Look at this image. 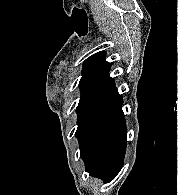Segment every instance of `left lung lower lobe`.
Here are the masks:
<instances>
[{"label": "left lung lower lobe", "instance_id": "0a47b994", "mask_svg": "<svg viewBox=\"0 0 178 195\" xmlns=\"http://www.w3.org/2000/svg\"><path fill=\"white\" fill-rule=\"evenodd\" d=\"M122 103L119 95L76 133L85 170L104 183L115 178L124 161L127 129Z\"/></svg>", "mask_w": 178, "mask_h": 195}]
</instances>
